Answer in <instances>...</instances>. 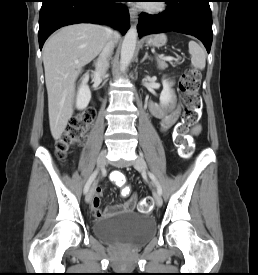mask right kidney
<instances>
[{"label":"right kidney","instance_id":"right-kidney-1","mask_svg":"<svg viewBox=\"0 0 258 275\" xmlns=\"http://www.w3.org/2000/svg\"><path fill=\"white\" fill-rule=\"evenodd\" d=\"M88 79H89V75L85 74L84 77L82 78V82L77 91L76 108L78 110L85 109L88 106L91 99V92L87 85Z\"/></svg>","mask_w":258,"mask_h":275}]
</instances>
